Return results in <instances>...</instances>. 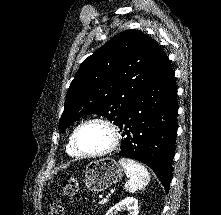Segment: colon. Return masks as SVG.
<instances>
[{
	"label": "colon",
	"mask_w": 221,
	"mask_h": 215,
	"mask_svg": "<svg viewBox=\"0 0 221 215\" xmlns=\"http://www.w3.org/2000/svg\"><path fill=\"white\" fill-rule=\"evenodd\" d=\"M63 193L68 197H73L78 192V181L73 176H68L63 182ZM48 215H64L63 206L60 204H51L48 208Z\"/></svg>",
	"instance_id": "obj_1"
}]
</instances>
